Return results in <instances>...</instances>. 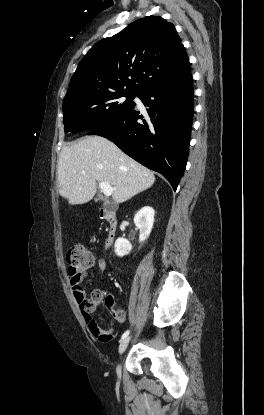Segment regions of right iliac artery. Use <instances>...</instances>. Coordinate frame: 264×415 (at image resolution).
<instances>
[{"label":"right iliac artery","instance_id":"obj_1","mask_svg":"<svg viewBox=\"0 0 264 415\" xmlns=\"http://www.w3.org/2000/svg\"><path fill=\"white\" fill-rule=\"evenodd\" d=\"M130 333V330L125 331L122 336H121V340L125 339Z\"/></svg>","mask_w":264,"mask_h":415}]
</instances>
